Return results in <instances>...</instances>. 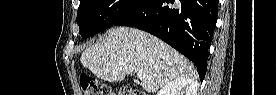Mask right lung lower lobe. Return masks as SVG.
I'll list each match as a JSON object with an SVG mask.
<instances>
[{
    "mask_svg": "<svg viewBox=\"0 0 277 95\" xmlns=\"http://www.w3.org/2000/svg\"><path fill=\"white\" fill-rule=\"evenodd\" d=\"M218 0H143L115 25L149 32L189 58L203 81Z\"/></svg>",
    "mask_w": 277,
    "mask_h": 95,
    "instance_id": "obj_1",
    "label": "right lung lower lobe"
}]
</instances>
